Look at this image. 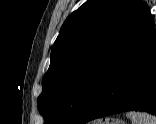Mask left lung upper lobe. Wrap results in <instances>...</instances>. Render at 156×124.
Returning a JSON list of instances; mask_svg holds the SVG:
<instances>
[{
	"label": "left lung upper lobe",
	"mask_w": 156,
	"mask_h": 124,
	"mask_svg": "<svg viewBox=\"0 0 156 124\" xmlns=\"http://www.w3.org/2000/svg\"><path fill=\"white\" fill-rule=\"evenodd\" d=\"M153 22L142 0H87L70 14L42 79L44 124H78L115 63Z\"/></svg>",
	"instance_id": "1"
}]
</instances>
